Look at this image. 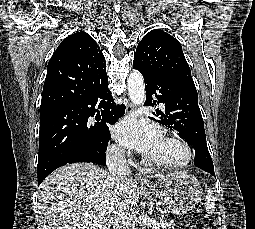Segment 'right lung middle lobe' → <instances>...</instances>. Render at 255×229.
Wrapping results in <instances>:
<instances>
[{
  "instance_id": "obj_1",
  "label": "right lung middle lobe",
  "mask_w": 255,
  "mask_h": 229,
  "mask_svg": "<svg viewBox=\"0 0 255 229\" xmlns=\"http://www.w3.org/2000/svg\"><path fill=\"white\" fill-rule=\"evenodd\" d=\"M88 121L67 113L40 121L38 164L42 168L61 165L79 147H85L95 157L101 152V142L95 137Z\"/></svg>"
}]
</instances>
